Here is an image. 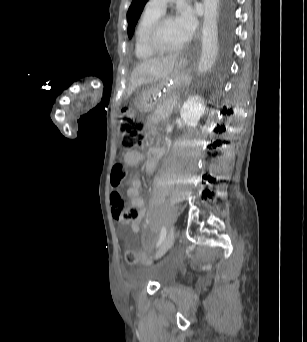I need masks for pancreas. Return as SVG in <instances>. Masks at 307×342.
<instances>
[{
  "label": "pancreas",
  "instance_id": "1",
  "mask_svg": "<svg viewBox=\"0 0 307 342\" xmlns=\"http://www.w3.org/2000/svg\"><path fill=\"white\" fill-rule=\"evenodd\" d=\"M177 99V94H170V96L165 101L168 104H175ZM170 115L171 112L170 110H168L167 106H160V108H157V110H155V116H158V118H167L170 117Z\"/></svg>",
  "mask_w": 307,
  "mask_h": 342
}]
</instances>
